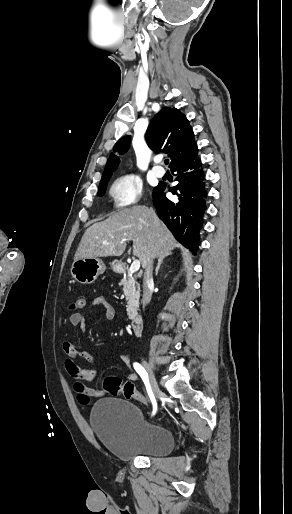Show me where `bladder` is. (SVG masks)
I'll return each mask as SVG.
<instances>
[{
    "mask_svg": "<svg viewBox=\"0 0 292 514\" xmlns=\"http://www.w3.org/2000/svg\"><path fill=\"white\" fill-rule=\"evenodd\" d=\"M89 420L100 443L121 461L163 456L174 447L169 428L147 420L137 405L126 400L98 401Z\"/></svg>",
    "mask_w": 292,
    "mask_h": 514,
    "instance_id": "obj_1",
    "label": "bladder"
}]
</instances>
